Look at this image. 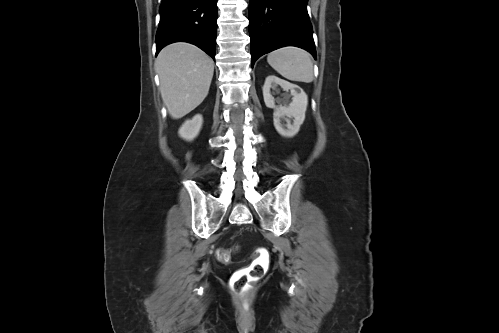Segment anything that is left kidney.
Segmentation results:
<instances>
[{"mask_svg": "<svg viewBox=\"0 0 499 333\" xmlns=\"http://www.w3.org/2000/svg\"><path fill=\"white\" fill-rule=\"evenodd\" d=\"M277 85H280L285 91L290 90L293 98L289 105H275V99L271 95L270 89ZM263 97L265 105L268 108L274 109L273 120L277 132L284 137L295 136L305 119L308 104L306 93L299 86L280 79L275 75H270L266 78L263 86ZM282 121H285V123Z\"/></svg>", "mask_w": 499, "mask_h": 333, "instance_id": "obj_1", "label": "left kidney"}]
</instances>
